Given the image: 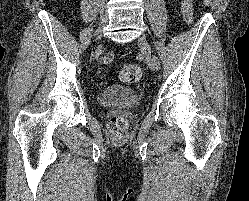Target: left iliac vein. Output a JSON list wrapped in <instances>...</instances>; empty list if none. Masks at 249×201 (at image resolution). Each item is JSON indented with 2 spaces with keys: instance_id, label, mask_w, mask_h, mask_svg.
Here are the masks:
<instances>
[{
  "instance_id": "1",
  "label": "left iliac vein",
  "mask_w": 249,
  "mask_h": 201,
  "mask_svg": "<svg viewBox=\"0 0 249 201\" xmlns=\"http://www.w3.org/2000/svg\"><path fill=\"white\" fill-rule=\"evenodd\" d=\"M138 45L140 47L141 53L144 56L149 68L151 70H156V65L154 61V56L152 55V52H151V47L144 36L139 38Z\"/></svg>"
}]
</instances>
